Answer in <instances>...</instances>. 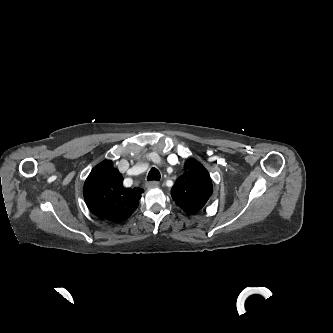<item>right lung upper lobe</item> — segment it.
<instances>
[{"instance_id": "cb5924a9", "label": "right lung upper lobe", "mask_w": 333, "mask_h": 333, "mask_svg": "<svg viewBox=\"0 0 333 333\" xmlns=\"http://www.w3.org/2000/svg\"><path fill=\"white\" fill-rule=\"evenodd\" d=\"M121 173L110 160L95 166L85 181L83 195L89 210L101 219L122 222L139 205L142 188H125Z\"/></svg>"}]
</instances>
